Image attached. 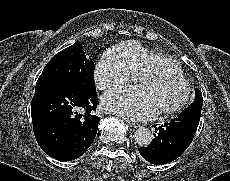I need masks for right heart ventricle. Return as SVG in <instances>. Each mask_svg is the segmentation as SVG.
I'll return each instance as SVG.
<instances>
[{
	"label": "right heart ventricle",
	"mask_w": 230,
	"mask_h": 181,
	"mask_svg": "<svg viewBox=\"0 0 230 181\" xmlns=\"http://www.w3.org/2000/svg\"><path fill=\"white\" fill-rule=\"evenodd\" d=\"M107 62L132 77H141L152 71L167 72L182 77V70L168 55L149 50L138 41H127L111 48Z\"/></svg>",
	"instance_id": "right-heart-ventricle-1"
}]
</instances>
